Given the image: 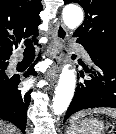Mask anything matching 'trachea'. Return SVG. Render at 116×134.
Wrapping results in <instances>:
<instances>
[{
	"label": "trachea",
	"mask_w": 116,
	"mask_h": 134,
	"mask_svg": "<svg viewBox=\"0 0 116 134\" xmlns=\"http://www.w3.org/2000/svg\"><path fill=\"white\" fill-rule=\"evenodd\" d=\"M25 46L24 55H34L35 48L30 40L25 41Z\"/></svg>",
	"instance_id": "3493384b"
}]
</instances>
